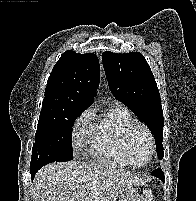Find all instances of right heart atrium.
I'll list each match as a JSON object with an SVG mask.
<instances>
[{
  "label": "right heart atrium",
  "mask_w": 196,
  "mask_h": 201,
  "mask_svg": "<svg viewBox=\"0 0 196 201\" xmlns=\"http://www.w3.org/2000/svg\"><path fill=\"white\" fill-rule=\"evenodd\" d=\"M93 117V111L86 109L75 120L73 126V143L76 148H81L87 142L89 137V123Z\"/></svg>",
  "instance_id": "right-heart-atrium-1"
}]
</instances>
